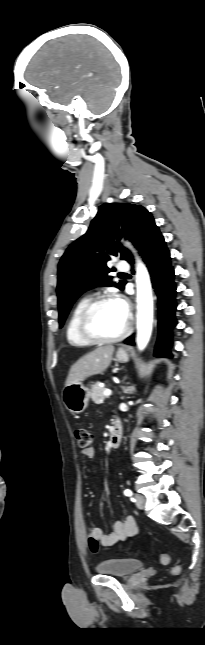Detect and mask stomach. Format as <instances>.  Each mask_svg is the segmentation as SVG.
<instances>
[{
    "label": "stomach",
    "instance_id": "1",
    "mask_svg": "<svg viewBox=\"0 0 205 645\" xmlns=\"http://www.w3.org/2000/svg\"><path fill=\"white\" fill-rule=\"evenodd\" d=\"M116 360L125 363L129 360L128 353L120 348L116 353ZM90 390L82 383H72L63 388L62 400L67 410L71 413L83 412L89 403Z\"/></svg>",
    "mask_w": 205,
    "mask_h": 645
}]
</instances>
